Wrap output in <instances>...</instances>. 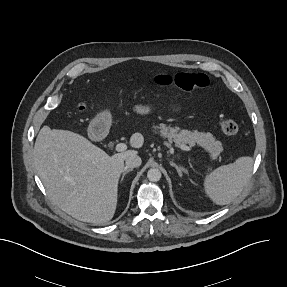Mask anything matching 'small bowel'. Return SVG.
Wrapping results in <instances>:
<instances>
[{
	"instance_id": "obj_1",
	"label": "small bowel",
	"mask_w": 287,
	"mask_h": 287,
	"mask_svg": "<svg viewBox=\"0 0 287 287\" xmlns=\"http://www.w3.org/2000/svg\"><path fill=\"white\" fill-rule=\"evenodd\" d=\"M134 110L138 114H143L148 111V107L146 105L139 104L135 106Z\"/></svg>"
}]
</instances>
